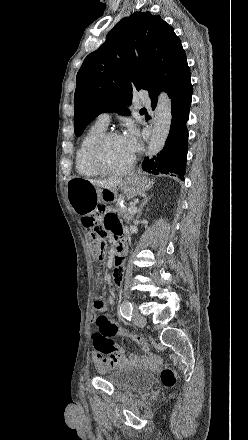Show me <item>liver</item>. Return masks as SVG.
<instances>
[{
	"mask_svg": "<svg viewBox=\"0 0 248 440\" xmlns=\"http://www.w3.org/2000/svg\"><path fill=\"white\" fill-rule=\"evenodd\" d=\"M94 186L99 188H113L118 186L121 180H89Z\"/></svg>",
	"mask_w": 248,
	"mask_h": 440,
	"instance_id": "6515ba94",
	"label": "liver"
}]
</instances>
